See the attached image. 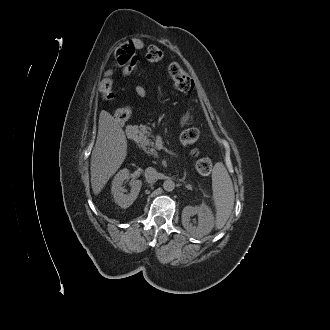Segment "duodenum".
I'll return each mask as SVG.
<instances>
[{
  "label": "duodenum",
  "mask_w": 330,
  "mask_h": 330,
  "mask_svg": "<svg viewBox=\"0 0 330 330\" xmlns=\"http://www.w3.org/2000/svg\"><path fill=\"white\" fill-rule=\"evenodd\" d=\"M136 135V128L134 126H128L126 128V136L128 139L132 140Z\"/></svg>",
  "instance_id": "1"
}]
</instances>
